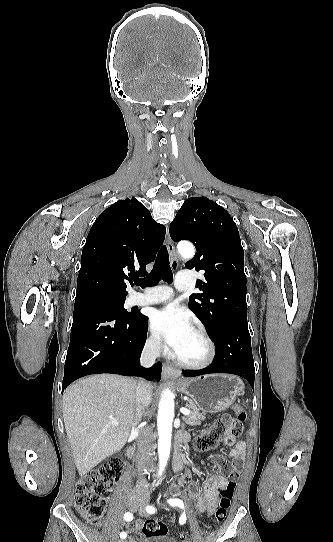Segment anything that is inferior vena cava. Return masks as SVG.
Segmentation results:
<instances>
[{"label":"inferior vena cava","mask_w":333,"mask_h":542,"mask_svg":"<svg viewBox=\"0 0 333 542\" xmlns=\"http://www.w3.org/2000/svg\"><path fill=\"white\" fill-rule=\"evenodd\" d=\"M160 348H161L160 340H155V342H153L150 348H145L140 360L141 366H144V368H151L156 358H158ZM151 400H152L151 388L149 384H146L144 380H138L137 388H136L137 408L135 412L134 426H138L139 422H141V418H142L141 410L142 408H148L149 404H151ZM141 430L142 432L138 440V450H137V456H136V468L139 472L136 486H139V488H144V486H147V482L142 474V470H144L146 466V462H148L154 446L152 444L153 442L152 430H150V428H141Z\"/></svg>","instance_id":"obj_1"}]
</instances>
